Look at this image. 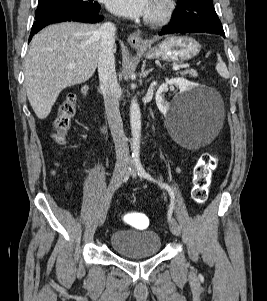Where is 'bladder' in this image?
<instances>
[{
  "label": "bladder",
  "mask_w": 267,
  "mask_h": 301,
  "mask_svg": "<svg viewBox=\"0 0 267 301\" xmlns=\"http://www.w3.org/2000/svg\"><path fill=\"white\" fill-rule=\"evenodd\" d=\"M110 246L123 258H146L159 253L161 237L152 230H117L110 237Z\"/></svg>",
  "instance_id": "31cf9c89"
}]
</instances>
